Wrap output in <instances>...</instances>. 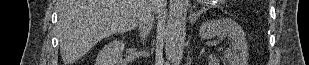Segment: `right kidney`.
Segmentation results:
<instances>
[{
	"instance_id": "right-kidney-1",
	"label": "right kidney",
	"mask_w": 309,
	"mask_h": 65,
	"mask_svg": "<svg viewBox=\"0 0 309 65\" xmlns=\"http://www.w3.org/2000/svg\"><path fill=\"white\" fill-rule=\"evenodd\" d=\"M124 47V42L121 40L115 39L109 42L99 52L96 65H119L122 61Z\"/></svg>"
}]
</instances>
